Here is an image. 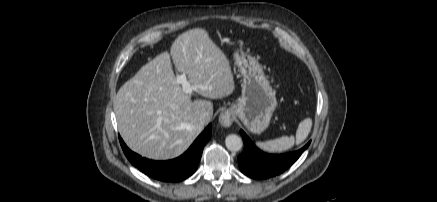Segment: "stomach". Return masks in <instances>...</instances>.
<instances>
[{
  "instance_id": "0dacf381",
  "label": "stomach",
  "mask_w": 437,
  "mask_h": 202,
  "mask_svg": "<svg viewBox=\"0 0 437 202\" xmlns=\"http://www.w3.org/2000/svg\"><path fill=\"white\" fill-rule=\"evenodd\" d=\"M234 57L243 76L242 94L228 112L237 116L250 132L260 134L268 127L277 106L275 93L254 57L242 50L236 51Z\"/></svg>"
}]
</instances>
